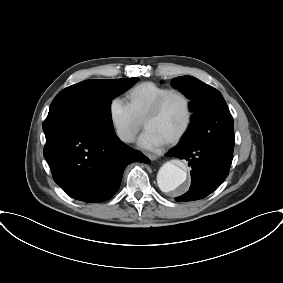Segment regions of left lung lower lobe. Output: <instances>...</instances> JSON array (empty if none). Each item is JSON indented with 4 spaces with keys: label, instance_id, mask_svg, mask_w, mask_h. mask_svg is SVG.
Instances as JSON below:
<instances>
[{
    "label": "left lung lower lobe",
    "instance_id": "obj_1",
    "mask_svg": "<svg viewBox=\"0 0 283 283\" xmlns=\"http://www.w3.org/2000/svg\"><path fill=\"white\" fill-rule=\"evenodd\" d=\"M203 123L190 126L180 143L166 156L185 159L191 170L189 191L176 201H193L212 193L227 177L233 159V149L208 145L203 138Z\"/></svg>",
    "mask_w": 283,
    "mask_h": 283
}]
</instances>
